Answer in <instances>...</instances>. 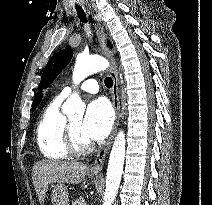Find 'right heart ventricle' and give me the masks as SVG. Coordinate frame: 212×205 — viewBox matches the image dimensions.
<instances>
[{
    "label": "right heart ventricle",
    "mask_w": 212,
    "mask_h": 205,
    "mask_svg": "<svg viewBox=\"0 0 212 205\" xmlns=\"http://www.w3.org/2000/svg\"><path fill=\"white\" fill-rule=\"evenodd\" d=\"M63 99L56 97L42 112L36 129V141L41 153L51 160L70 156L65 144L67 119L60 110Z\"/></svg>",
    "instance_id": "e07e8e85"
}]
</instances>
